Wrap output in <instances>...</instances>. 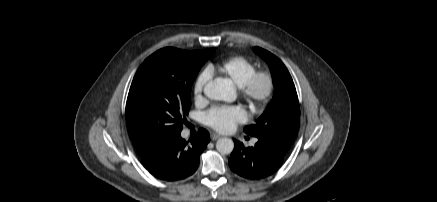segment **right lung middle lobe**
<instances>
[{
  "label": "right lung middle lobe",
  "instance_id": "obj_1",
  "mask_svg": "<svg viewBox=\"0 0 437 202\" xmlns=\"http://www.w3.org/2000/svg\"><path fill=\"white\" fill-rule=\"evenodd\" d=\"M213 52L192 55L167 47L141 64L126 103V121L138 152H147L181 132L191 106L192 84Z\"/></svg>",
  "mask_w": 437,
  "mask_h": 202
}]
</instances>
